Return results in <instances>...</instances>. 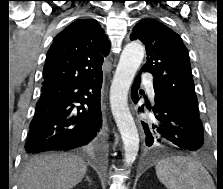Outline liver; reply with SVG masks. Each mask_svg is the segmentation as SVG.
I'll return each instance as SVG.
<instances>
[{
  "mask_svg": "<svg viewBox=\"0 0 223 189\" xmlns=\"http://www.w3.org/2000/svg\"><path fill=\"white\" fill-rule=\"evenodd\" d=\"M86 171V162L75 155H41L25 165L18 186L19 189H71L81 182Z\"/></svg>",
  "mask_w": 223,
  "mask_h": 189,
  "instance_id": "6515ba94",
  "label": "liver"
}]
</instances>
